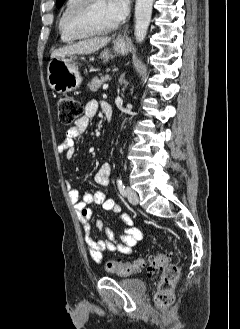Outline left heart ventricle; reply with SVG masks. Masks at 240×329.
Returning a JSON list of instances; mask_svg holds the SVG:
<instances>
[{"instance_id":"1","label":"left heart ventricle","mask_w":240,"mask_h":329,"mask_svg":"<svg viewBox=\"0 0 240 329\" xmlns=\"http://www.w3.org/2000/svg\"><path fill=\"white\" fill-rule=\"evenodd\" d=\"M116 21L109 13L107 0H95L87 18L77 21V26L103 28L115 24Z\"/></svg>"}]
</instances>
